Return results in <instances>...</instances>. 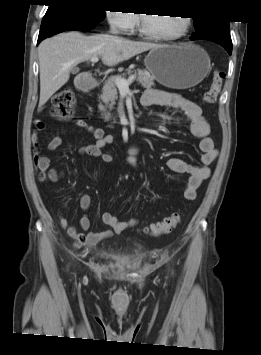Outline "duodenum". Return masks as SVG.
I'll return each mask as SVG.
<instances>
[{
	"instance_id": "duodenum-1",
	"label": "duodenum",
	"mask_w": 261,
	"mask_h": 355,
	"mask_svg": "<svg viewBox=\"0 0 261 355\" xmlns=\"http://www.w3.org/2000/svg\"><path fill=\"white\" fill-rule=\"evenodd\" d=\"M77 88L82 92H90L97 87L96 78L93 75L79 78L76 82Z\"/></svg>"
}]
</instances>
